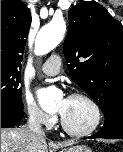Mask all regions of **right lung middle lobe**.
Masks as SVG:
<instances>
[{"label":"right lung middle lobe","instance_id":"1","mask_svg":"<svg viewBox=\"0 0 123 152\" xmlns=\"http://www.w3.org/2000/svg\"><path fill=\"white\" fill-rule=\"evenodd\" d=\"M20 72L1 68V107L23 110L21 101Z\"/></svg>","mask_w":123,"mask_h":152}]
</instances>
